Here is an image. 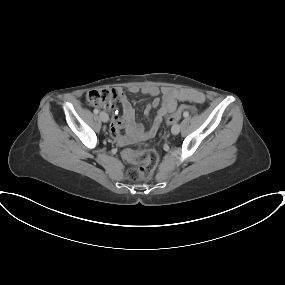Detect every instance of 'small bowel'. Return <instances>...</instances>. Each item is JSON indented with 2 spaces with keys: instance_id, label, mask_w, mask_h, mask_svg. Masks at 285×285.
Here are the masks:
<instances>
[{
  "instance_id": "1",
  "label": "small bowel",
  "mask_w": 285,
  "mask_h": 285,
  "mask_svg": "<svg viewBox=\"0 0 285 285\" xmlns=\"http://www.w3.org/2000/svg\"><path fill=\"white\" fill-rule=\"evenodd\" d=\"M140 90L143 94L153 97V100L145 106V115L149 116L152 109L158 108L157 114L152 120L151 127L148 130H145L141 123L136 122L135 110L122 89H112V91L116 93L118 101L122 106L123 115L122 117H118L117 115L112 117L111 134L117 138L121 144H131L154 137L163 120L176 110L179 101L196 104H202L205 101V96L196 91L172 88L160 89L155 85H147ZM129 91L131 93H137L139 88L132 86L129 88ZM160 94L163 95L162 98H159ZM122 129L126 132L125 136H120V130Z\"/></svg>"
}]
</instances>
